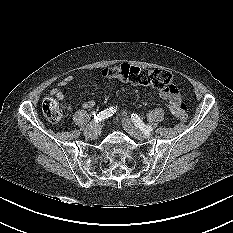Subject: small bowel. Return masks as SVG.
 I'll return each instance as SVG.
<instances>
[{"mask_svg": "<svg viewBox=\"0 0 233 233\" xmlns=\"http://www.w3.org/2000/svg\"><path fill=\"white\" fill-rule=\"evenodd\" d=\"M73 80L72 76H66L59 82V86L55 87L51 90V94L55 96L59 100L64 99V93L62 91V87L67 86ZM159 96L168 101V108L172 114L176 117L180 118L181 114V98L177 90L175 91H160ZM85 108H91L93 106V102L89 101L83 104ZM67 109H71L70 105H67Z\"/></svg>", "mask_w": 233, "mask_h": 233, "instance_id": "c3829d8e", "label": "small bowel"}]
</instances>
